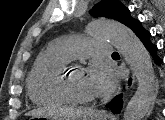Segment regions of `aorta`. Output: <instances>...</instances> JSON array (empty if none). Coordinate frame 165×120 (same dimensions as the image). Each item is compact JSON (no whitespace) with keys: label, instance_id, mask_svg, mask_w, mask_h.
Masks as SVG:
<instances>
[{"label":"aorta","instance_id":"762f6f07","mask_svg":"<svg viewBox=\"0 0 165 120\" xmlns=\"http://www.w3.org/2000/svg\"><path fill=\"white\" fill-rule=\"evenodd\" d=\"M89 32L95 37L111 40L129 63L138 87L125 109L124 118L142 120L154 95V70L149 53L131 29L117 21L93 20Z\"/></svg>","mask_w":165,"mask_h":120}]
</instances>
